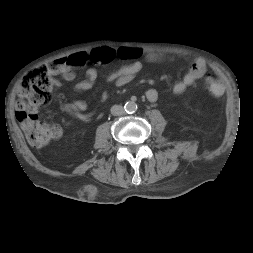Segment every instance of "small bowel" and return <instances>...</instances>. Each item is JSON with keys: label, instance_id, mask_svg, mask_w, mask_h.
Masks as SVG:
<instances>
[{"label": "small bowel", "instance_id": "1", "mask_svg": "<svg viewBox=\"0 0 253 253\" xmlns=\"http://www.w3.org/2000/svg\"><path fill=\"white\" fill-rule=\"evenodd\" d=\"M142 57L147 61H161L163 59L160 54L144 53L140 48L120 47L113 49L110 47H98L89 52H77L64 58L68 62V69L62 74V77L67 82H73L76 78V70H84V79L74 85V93L76 95L84 94L94 86L97 80V67L114 60H124L128 61V63L110 73L105 79L107 83L115 86H124L134 80L142 69ZM206 73L207 65L204 59L195 57L183 77L174 82L172 92L174 94L183 93L187 87L204 77ZM59 84L57 82V85ZM145 95L150 102L157 101L159 97L158 91L153 88L148 89ZM87 108V103L78 97H74L70 103L61 106L64 112L72 114L83 121L91 118V115L86 113Z\"/></svg>", "mask_w": 253, "mask_h": 253}]
</instances>
